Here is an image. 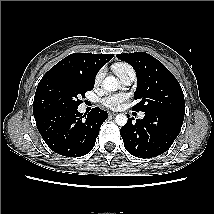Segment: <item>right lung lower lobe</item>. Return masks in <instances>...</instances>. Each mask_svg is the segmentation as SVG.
<instances>
[{
	"instance_id": "98d812e1",
	"label": "right lung lower lobe",
	"mask_w": 214,
	"mask_h": 214,
	"mask_svg": "<svg viewBox=\"0 0 214 214\" xmlns=\"http://www.w3.org/2000/svg\"><path fill=\"white\" fill-rule=\"evenodd\" d=\"M77 108H58L35 117L39 133L48 147L57 154L79 157L89 153L108 117L99 108L82 114Z\"/></svg>"
}]
</instances>
